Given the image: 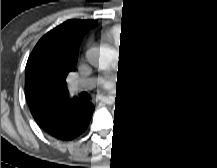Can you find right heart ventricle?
<instances>
[{
    "instance_id": "right-heart-ventricle-1",
    "label": "right heart ventricle",
    "mask_w": 217,
    "mask_h": 168,
    "mask_svg": "<svg viewBox=\"0 0 217 168\" xmlns=\"http://www.w3.org/2000/svg\"><path fill=\"white\" fill-rule=\"evenodd\" d=\"M109 36L118 45H122L128 39L125 31L119 28L113 29L109 32Z\"/></svg>"
}]
</instances>
